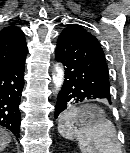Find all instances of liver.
<instances>
[{
	"label": "liver",
	"mask_w": 130,
	"mask_h": 153,
	"mask_svg": "<svg viewBox=\"0 0 130 153\" xmlns=\"http://www.w3.org/2000/svg\"><path fill=\"white\" fill-rule=\"evenodd\" d=\"M10 141V134L5 129L0 127V152L6 148Z\"/></svg>",
	"instance_id": "6515ba94"
}]
</instances>
